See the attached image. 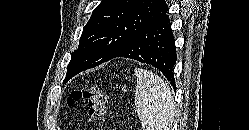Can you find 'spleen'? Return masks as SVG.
Returning a JSON list of instances; mask_svg holds the SVG:
<instances>
[{
	"mask_svg": "<svg viewBox=\"0 0 249 130\" xmlns=\"http://www.w3.org/2000/svg\"><path fill=\"white\" fill-rule=\"evenodd\" d=\"M135 105L143 130H170L175 103L167 83L157 74L136 68Z\"/></svg>",
	"mask_w": 249,
	"mask_h": 130,
	"instance_id": "obj_1",
	"label": "spleen"
}]
</instances>
